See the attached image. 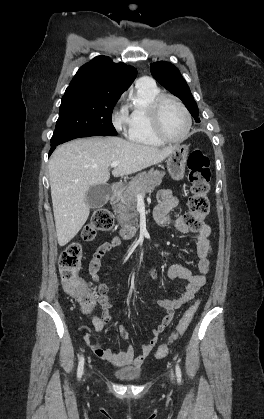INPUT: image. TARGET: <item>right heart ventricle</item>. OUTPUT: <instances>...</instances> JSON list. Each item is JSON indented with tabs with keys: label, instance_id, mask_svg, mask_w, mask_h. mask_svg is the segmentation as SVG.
<instances>
[{
	"label": "right heart ventricle",
	"instance_id": "right-heart-ventricle-1",
	"mask_svg": "<svg viewBox=\"0 0 264 419\" xmlns=\"http://www.w3.org/2000/svg\"><path fill=\"white\" fill-rule=\"evenodd\" d=\"M160 92L153 82H137L126 105L127 137L130 141L149 146H159L163 143L153 133L150 119L151 102Z\"/></svg>",
	"mask_w": 264,
	"mask_h": 419
}]
</instances>
